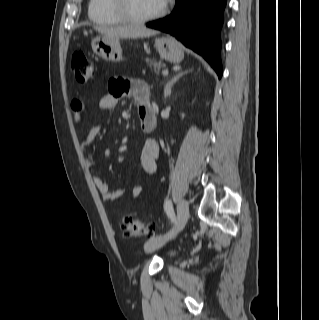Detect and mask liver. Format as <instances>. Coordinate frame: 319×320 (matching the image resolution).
<instances>
[{"mask_svg":"<svg viewBox=\"0 0 319 320\" xmlns=\"http://www.w3.org/2000/svg\"><path fill=\"white\" fill-rule=\"evenodd\" d=\"M100 33L116 38H143L158 34L145 26L96 27Z\"/></svg>","mask_w":319,"mask_h":320,"instance_id":"6515ba94","label":"liver"}]
</instances>
